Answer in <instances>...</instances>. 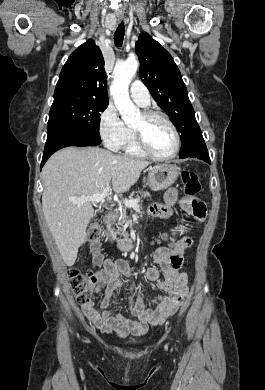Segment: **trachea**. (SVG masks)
Segmentation results:
<instances>
[{
    "mask_svg": "<svg viewBox=\"0 0 265 390\" xmlns=\"http://www.w3.org/2000/svg\"><path fill=\"white\" fill-rule=\"evenodd\" d=\"M124 32H125L124 23L121 22L114 34V43L117 47H121L123 44Z\"/></svg>",
    "mask_w": 265,
    "mask_h": 390,
    "instance_id": "trachea-1",
    "label": "trachea"
}]
</instances>
